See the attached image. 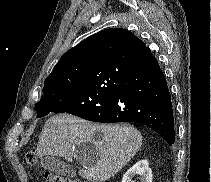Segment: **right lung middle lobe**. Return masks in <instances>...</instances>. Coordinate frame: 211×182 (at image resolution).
<instances>
[{"mask_svg": "<svg viewBox=\"0 0 211 182\" xmlns=\"http://www.w3.org/2000/svg\"><path fill=\"white\" fill-rule=\"evenodd\" d=\"M88 63L68 66L48 76L44 82L43 96L36 103L37 117L53 113L56 107L68 100L81 86Z\"/></svg>", "mask_w": 211, "mask_h": 182, "instance_id": "dd1d6c3e", "label": "right lung middle lobe"}]
</instances>
